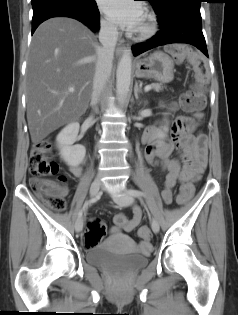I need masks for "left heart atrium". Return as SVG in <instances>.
<instances>
[{
  "label": "left heart atrium",
  "mask_w": 238,
  "mask_h": 315,
  "mask_svg": "<svg viewBox=\"0 0 238 315\" xmlns=\"http://www.w3.org/2000/svg\"><path fill=\"white\" fill-rule=\"evenodd\" d=\"M100 9L115 24L137 30L144 16L143 5L136 0H98Z\"/></svg>",
  "instance_id": "left-heart-atrium-1"
}]
</instances>
